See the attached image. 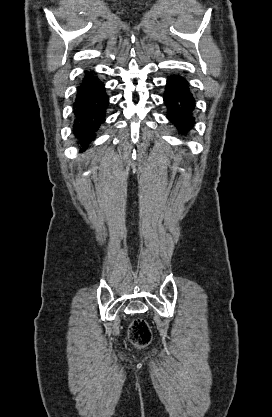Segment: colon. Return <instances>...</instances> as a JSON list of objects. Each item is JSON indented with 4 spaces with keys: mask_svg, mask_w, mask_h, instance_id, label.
<instances>
[{
    "mask_svg": "<svg viewBox=\"0 0 272 417\" xmlns=\"http://www.w3.org/2000/svg\"><path fill=\"white\" fill-rule=\"evenodd\" d=\"M128 337L136 346L144 347L151 342L152 332L145 320L135 319L129 326Z\"/></svg>",
    "mask_w": 272,
    "mask_h": 417,
    "instance_id": "5ec220e1",
    "label": "colon"
}]
</instances>
